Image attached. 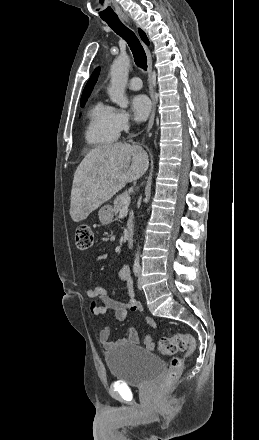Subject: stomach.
I'll return each instance as SVG.
<instances>
[{"label":"stomach","instance_id":"stomach-1","mask_svg":"<svg viewBox=\"0 0 259 440\" xmlns=\"http://www.w3.org/2000/svg\"><path fill=\"white\" fill-rule=\"evenodd\" d=\"M98 217L102 225L109 224L114 217V210L111 205H105L98 211Z\"/></svg>","mask_w":259,"mask_h":440}]
</instances>
